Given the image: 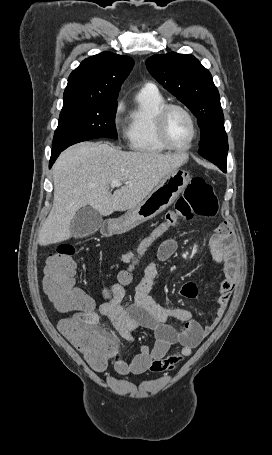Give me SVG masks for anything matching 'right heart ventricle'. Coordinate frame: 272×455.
Returning <instances> with one entry per match:
<instances>
[{"mask_svg":"<svg viewBox=\"0 0 272 455\" xmlns=\"http://www.w3.org/2000/svg\"><path fill=\"white\" fill-rule=\"evenodd\" d=\"M166 101L157 89L142 88L127 117L125 135L130 149L147 154L162 153L167 148L155 129V115Z\"/></svg>","mask_w":272,"mask_h":455,"instance_id":"1","label":"right heart ventricle"}]
</instances>
